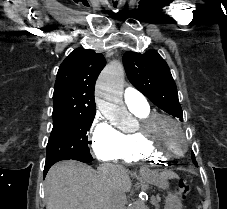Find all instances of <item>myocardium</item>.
<instances>
[{
    "mask_svg": "<svg viewBox=\"0 0 227 209\" xmlns=\"http://www.w3.org/2000/svg\"><path fill=\"white\" fill-rule=\"evenodd\" d=\"M159 120L170 121L171 123H173L176 126V128L184 136L185 146L182 151L165 153L152 140V138H151L152 129L154 128V126L156 125V123ZM136 134H137V137L139 138V140L142 142V144L146 147V149L149 152H151L163 159H173V158H178V157L183 156L188 151L189 144H190V140L187 135V132L184 129V127L182 126V124L180 123V121L177 118H175L171 115H168V114H164V113H158V112L150 113L147 117H145L144 119H141L139 128L136 131Z\"/></svg>",
    "mask_w": 227,
    "mask_h": 209,
    "instance_id": "f54148a6",
    "label": "myocardium"
}]
</instances>
